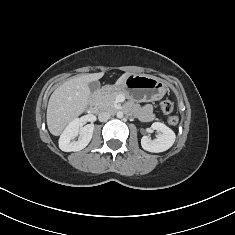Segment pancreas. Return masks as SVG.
<instances>
[{
    "label": "pancreas",
    "mask_w": 235,
    "mask_h": 235,
    "mask_svg": "<svg viewBox=\"0 0 235 235\" xmlns=\"http://www.w3.org/2000/svg\"><path fill=\"white\" fill-rule=\"evenodd\" d=\"M124 94L118 91H108L100 93L96 96V105L100 108L114 110L116 109V98L118 95Z\"/></svg>",
    "instance_id": "obj_1"
}]
</instances>
